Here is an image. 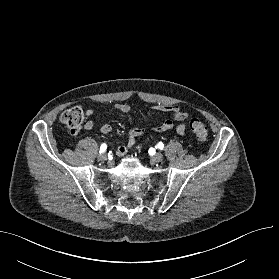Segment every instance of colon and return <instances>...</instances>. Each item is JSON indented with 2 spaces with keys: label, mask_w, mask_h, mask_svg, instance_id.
<instances>
[{
  "label": "colon",
  "mask_w": 279,
  "mask_h": 279,
  "mask_svg": "<svg viewBox=\"0 0 279 279\" xmlns=\"http://www.w3.org/2000/svg\"><path fill=\"white\" fill-rule=\"evenodd\" d=\"M61 121L72 134H76L84 122V112L80 107H72L62 113ZM191 130L200 141H204L208 136V126L198 119L191 122Z\"/></svg>",
  "instance_id": "colon-1"
}]
</instances>
